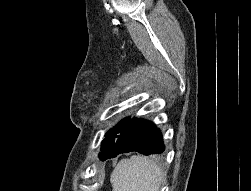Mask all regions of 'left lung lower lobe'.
I'll return each mask as SVG.
<instances>
[{
	"label": "left lung lower lobe",
	"instance_id": "0a47b994",
	"mask_svg": "<svg viewBox=\"0 0 251 191\" xmlns=\"http://www.w3.org/2000/svg\"><path fill=\"white\" fill-rule=\"evenodd\" d=\"M165 150L160 130L150 121L130 118L120 132L109 158L136 151L144 155L161 154Z\"/></svg>",
	"mask_w": 251,
	"mask_h": 191
}]
</instances>
